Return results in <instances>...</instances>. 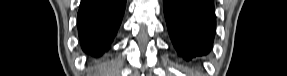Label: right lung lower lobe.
Segmentation results:
<instances>
[{
	"instance_id": "1",
	"label": "right lung lower lobe",
	"mask_w": 287,
	"mask_h": 76,
	"mask_svg": "<svg viewBox=\"0 0 287 76\" xmlns=\"http://www.w3.org/2000/svg\"><path fill=\"white\" fill-rule=\"evenodd\" d=\"M125 5L126 0H81L77 22L84 52L99 57L109 49Z\"/></svg>"
}]
</instances>
